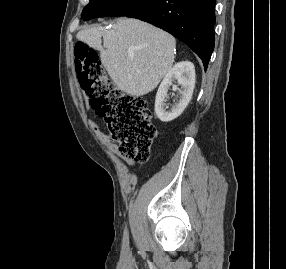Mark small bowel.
I'll return each mask as SVG.
<instances>
[{
  "instance_id": "obj_1",
  "label": "small bowel",
  "mask_w": 286,
  "mask_h": 269,
  "mask_svg": "<svg viewBox=\"0 0 286 269\" xmlns=\"http://www.w3.org/2000/svg\"><path fill=\"white\" fill-rule=\"evenodd\" d=\"M103 141H104L105 144H107L108 146H110L115 152H117L118 155H119L129 166H135V165H136V163H135L132 159L127 158V157L121 155V154L117 151V149H116L114 146H111V145L109 144L108 140H107L105 137H103Z\"/></svg>"
}]
</instances>
